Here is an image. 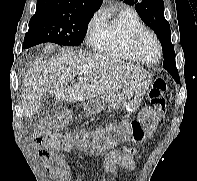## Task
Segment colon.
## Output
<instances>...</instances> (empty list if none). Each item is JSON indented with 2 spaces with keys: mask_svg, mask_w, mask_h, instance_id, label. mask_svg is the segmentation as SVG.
Masks as SVG:
<instances>
[{
  "mask_svg": "<svg viewBox=\"0 0 197 181\" xmlns=\"http://www.w3.org/2000/svg\"><path fill=\"white\" fill-rule=\"evenodd\" d=\"M166 91V81L160 78L156 79L148 92L150 106L143 110L137 119L113 125L107 130H98L92 136L84 133L77 137L58 134L57 131L71 118L69 112H63L45 123L35 134V139L47 138L48 145L53 149L61 147L71 149L76 142L82 148H90L95 151H102L110 145L116 144L121 136L125 135H131L135 141H141L145 135L155 129L159 119L166 113Z\"/></svg>",
  "mask_w": 197,
  "mask_h": 181,
  "instance_id": "colon-1",
  "label": "colon"
}]
</instances>
